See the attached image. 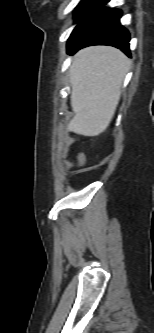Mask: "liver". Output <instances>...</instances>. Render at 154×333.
<instances>
[{"label": "liver", "mask_w": 154, "mask_h": 333, "mask_svg": "<svg viewBox=\"0 0 154 333\" xmlns=\"http://www.w3.org/2000/svg\"><path fill=\"white\" fill-rule=\"evenodd\" d=\"M130 64L120 50L108 46L87 47L74 56L70 67L74 117L67 131L94 137L107 129Z\"/></svg>", "instance_id": "obj_1"}]
</instances>
